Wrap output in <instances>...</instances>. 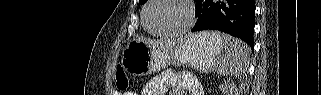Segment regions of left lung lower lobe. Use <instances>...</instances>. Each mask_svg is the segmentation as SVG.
<instances>
[{
	"mask_svg": "<svg viewBox=\"0 0 321 95\" xmlns=\"http://www.w3.org/2000/svg\"><path fill=\"white\" fill-rule=\"evenodd\" d=\"M198 20L193 32L219 30L244 40L254 48V0H195Z\"/></svg>",
	"mask_w": 321,
	"mask_h": 95,
	"instance_id": "obj_1",
	"label": "left lung lower lobe"
}]
</instances>
